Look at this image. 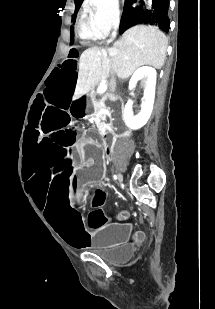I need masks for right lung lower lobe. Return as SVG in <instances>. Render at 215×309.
Returning <instances> with one entry per match:
<instances>
[{"label":"right lung lower lobe","instance_id":"obj_1","mask_svg":"<svg viewBox=\"0 0 215 309\" xmlns=\"http://www.w3.org/2000/svg\"><path fill=\"white\" fill-rule=\"evenodd\" d=\"M137 3L135 9L131 7ZM169 0H132L126 7L120 22V32L136 24L156 25L165 32L170 28L168 19Z\"/></svg>","mask_w":215,"mask_h":309}]
</instances>
